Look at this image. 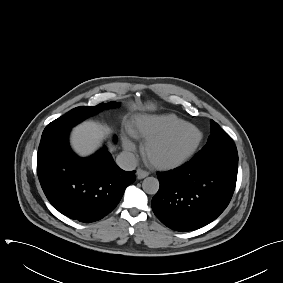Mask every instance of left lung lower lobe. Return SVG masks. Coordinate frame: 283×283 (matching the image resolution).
Returning a JSON list of instances; mask_svg holds the SVG:
<instances>
[{"mask_svg": "<svg viewBox=\"0 0 283 283\" xmlns=\"http://www.w3.org/2000/svg\"><path fill=\"white\" fill-rule=\"evenodd\" d=\"M238 166L193 162L158 173L160 188L151 201L157 218L176 231H192L215 220L228 206Z\"/></svg>", "mask_w": 283, "mask_h": 283, "instance_id": "obj_1", "label": "left lung lower lobe"}]
</instances>
